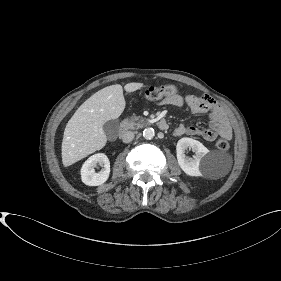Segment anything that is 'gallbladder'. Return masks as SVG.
<instances>
[{
	"label": "gallbladder",
	"mask_w": 281,
	"mask_h": 281,
	"mask_svg": "<svg viewBox=\"0 0 281 281\" xmlns=\"http://www.w3.org/2000/svg\"><path fill=\"white\" fill-rule=\"evenodd\" d=\"M119 129L118 120H109L103 125V130L108 138H114L117 136Z\"/></svg>",
	"instance_id": "gallbladder-1"
}]
</instances>
